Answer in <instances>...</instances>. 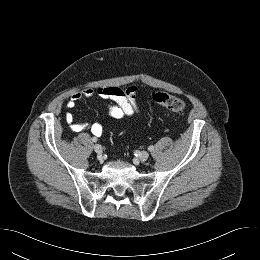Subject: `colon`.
I'll return each mask as SVG.
<instances>
[{"label": "colon", "instance_id": "1", "mask_svg": "<svg viewBox=\"0 0 260 260\" xmlns=\"http://www.w3.org/2000/svg\"><path fill=\"white\" fill-rule=\"evenodd\" d=\"M153 100L158 105L166 108L171 112L181 113L186 109L185 101L167 93H162V92L155 93L153 95Z\"/></svg>", "mask_w": 260, "mask_h": 260}]
</instances>
